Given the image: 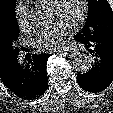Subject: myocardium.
Instances as JSON below:
<instances>
[{
  "mask_svg": "<svg viewBox=\"0 0 113 113\" xmlns=\"http://www.w3.org/2000/svg\"><path fill=\"white\" fill-rule=\"evenodd\" d=\"M66 0H56L52 5L53 10L58 12L60 15H63L64 12V3ZM81 3V11L77 19L72 24L73 27L78 28L80 27L86 20L89 12V4L87 0H80Z\"/></svg>",
  "mask_w": 113,
  "mask_h": 113,
  "instance_id": "myocardium-1",
  "label": "myocardium"
}]
</instances>
